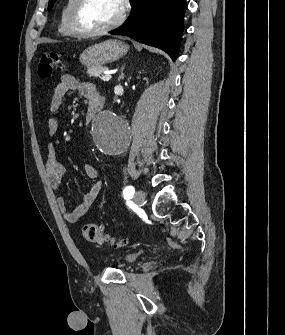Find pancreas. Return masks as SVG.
Returning a JSON list of instances; mask_svg holds the SVG:
<instances>
[{"mask_svg":"<svg viewBox=\"0 0 285 335\" xmlns=\"http://www.w3.org/2000/svg\"><path fill=\"white\" fill-rule=\"evenodd\" d=\"M104 70H107V68H104V66H90V68H88V72H89V76L91 78H94L96 76V74H101V72H104Z\"/></svg>","mask_w":285,"mask_h":335,"instance_id":"cf45deb5","label":"pancreas"}]
</instances>
